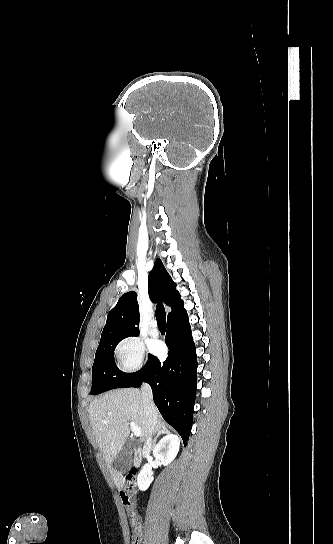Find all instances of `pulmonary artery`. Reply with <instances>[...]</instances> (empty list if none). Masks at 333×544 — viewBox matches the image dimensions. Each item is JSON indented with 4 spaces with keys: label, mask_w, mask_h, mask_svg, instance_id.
Wrapping results in <instances>:
<instances>
[{
    "label": "pulmonary artery",
    "mask_w": 333,
    "mask_h": 544,
    "mask_svg": "<svg viewBox=\"0 0 333 544\" xmlns=\"http://www.w3.org/2000/svg\"><path fill=\"white\" fill-rule=\"evenodd\" d=\"M151 330H150V335L154 338L158 337L159 336V328H158V324H157V321L153 320L151 321Z\"/></svg>",
    "instance_id": "e3ab8cb5"
}]
</instances>
